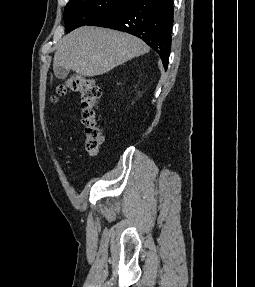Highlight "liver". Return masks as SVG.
<instances>
[{
	"instance_id": "6515ba94",
	"label": "liver",
	"mask_w": 255,
	"mask_h": 287,
	"mask_svg": "<svg viewBox=\"0 0 255 287\" xmlns=\"http://www.w3.org/2000/svg\"><path fill=\"white\" fill-rule=\"evenodd\" d=\"M148 46L130 34L83 26L64 36L55 52L54 66L73 70L80 76H100L116 66L143 56Z\"/></svg>"
}]
</instances>
